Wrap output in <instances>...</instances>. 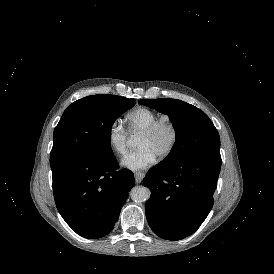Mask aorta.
<instances>
[{
    "mask_svg": "<svg viewBox=\"0 0 274 274\" xmlns=\"http://www.w3.org/2000/svg\"><path fill=\"white\" fill-rule=\"evenodd\" d=\"M131 199L136 203H141L149 199L150 190L144 186H135L130 191Z\"/></svg>",
    "mask_w": 274,
    "mask_h": 274,
    "instance_id": "obj_1",
    "label": "aorta"
}]
</instances>
